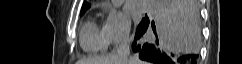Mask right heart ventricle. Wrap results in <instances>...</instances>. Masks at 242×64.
I'll use <instances>...</instances> for the list:
<instances>
[{"label": "right heart ventricle", "instance_id": "right-heart-ventricle-1", "mask_svg": "<svg viewBox=\"0 0 242 64\" xmlns=\"http://www.w3.org/2000/svg\"><path fill=\"white\" fill-rule=\"evenodd\" d=\"M80 45L88 53L102 52L107 48V41L103 29L94 20L87 21L80 33Z\"/></svg>", "mask_w": 242, "mask_h": 64}]
</instances>
